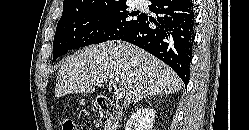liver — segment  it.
Listing matches in <instances>:
<instances>
[{
	"instance_id": "1",
	"label": "liver",
	"mask_w": 249,
	"mask_h": 130,
	"mask_svg": "<svg viewBox=\"0 0 249 130\" xmlns=\"http://www.w3.org/2000/svg\"><path fill=\"white\" fill-rule=\"evenodd\" d=\"M93 79L117 83L124 90V106L147 96L172 94L181 89L178 75L143 49L121 41L92 45L63 60L55 96L92 93Z\"/></svg>"
}]
</instances>
